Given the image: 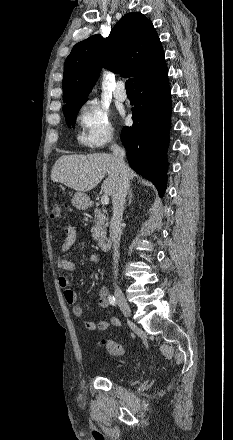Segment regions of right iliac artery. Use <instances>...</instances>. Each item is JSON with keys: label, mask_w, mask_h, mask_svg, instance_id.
Wrapping results in <instances>:
<instances>
[{"label": "right iliac artery", "mask_w": 233, "mask_h": 440, "mask_svg": "<svg viewBox=\"0 0 233 440\" xmlns=\"http://www.w3.org/2000/svg\"><path fill=\"white\" fill-rule=\"evenodd\" d=\"M108 300H109V303H110L111 305H113V306L116 305V299H115V297H114L113 295H109V296H108Z\"/></svg>", "instance_id": "right-iliac-artery-1"}]
</instances>
